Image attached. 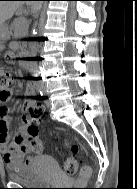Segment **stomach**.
I'll use <instances>...</instances> for the list:
<instances>
[{
  "label": "stomach",
  "instance_id": "obj_1",
  "mask_svg": "<svg viewBox=\"0 0 137 189\" xmlns=\"http://www.w3.org/2000/svg\"><path fill=\"white\" fill-rule=\"evenodd\" d=\"M10 37V32L6 25L0 26V47L2 46V41L7 40Z\"/></svg>",
  "mask_w": 137,
  "mask_h": 189
}]
</instances>
